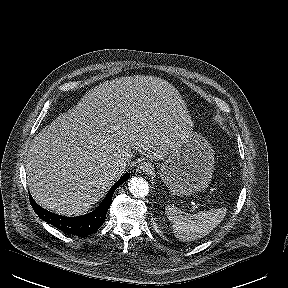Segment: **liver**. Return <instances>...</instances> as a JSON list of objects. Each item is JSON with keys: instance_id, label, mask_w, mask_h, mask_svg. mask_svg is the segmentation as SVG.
I'll use <instances>...</instances> for the list:
<instances>
[{"instance_id": "liver-1", "label": "liver", "mask_w": 288, "mask_h": 288, "mask_svg": "<svg viewBox=\"0 0 288 288\" xmlns=\"http://www.w3.org/2000/svg\"><path fill=\"white\" fill-rule=\"evenodd\" d=\"M191 126L185 102L166 80L106 81L34 137L26 164L30 193L49 211L81 215L123 174H110L114 161L129 162L135 151L163 160Z\"/></svg>"}]
</instances>
